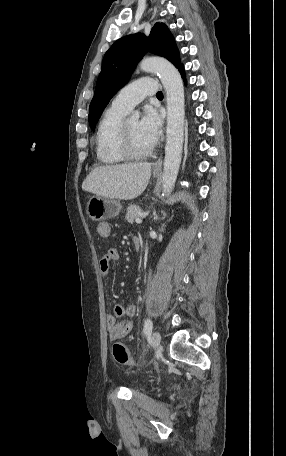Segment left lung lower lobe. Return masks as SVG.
Wrapping results in <instances>:
<instances>
[{
    "instance_id": "0a47b994",
    "label": "left lung lower lobe",
    "mask_w": 286,
    "mask_h": 456,
    "mask_svg": "<svg viewBox=\"0 0 286 456\" xmlns=\"http://www.w3.org/2000/svg\"><path fill=\"white\" fill-rule=\"evenodd\" d=\"M179 72L181 73L182 77L185 78V71H184V66L183 64H180L178 67ZM185 81V79H184Z\"/></svg>"
}]
</instances>
